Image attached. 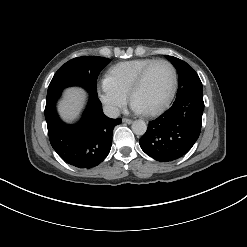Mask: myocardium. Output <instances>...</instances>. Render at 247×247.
<instances>
[{
  "label": "myocardium",
  "mask_w": 247,
  "mask_h": 247,
  "mask_svg": "<svg viewBox=\"0 0 247 247\" xmlns=\"http://www.w3.org/2000/svg\"><path fill=\"white\" fill-rule=\"evenodd\" d=\"M160 63H164L167 64L171 71H172V75H173V82H172V87L171 90L167 96V98L165 99V101L158 107H156L153 110L150 111H146L144 112L146 115H157L161 112H163L171 103L172 99L174 98V95L177 91V87H178V73H177V69L174 66V64L166 59H157L154 62H152L151 64H149L148 66H146L141 72L140 74L137 76V78L135 79V81L133 82V84L131 85L130 89H129V98L131 101H133V96L134 93L142 86V84L144 83L148 73L151 71V69Z\"/></svg>",
  "instance_id": "obj_1"
}]
</instances>
